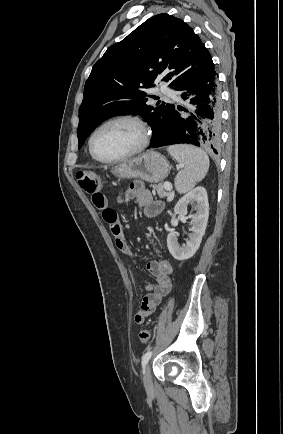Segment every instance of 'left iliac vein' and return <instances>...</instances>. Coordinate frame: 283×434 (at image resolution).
<instances>
[{
	"label": "left iliac vein",
	"instance_id": "left-iliac-vein-1",
	"mask_svg": "<svg viewBox=\"0 0 283 434\" xmlns=\"http://www.w3.org/2000/svg\"><path fill=\"white\" fill-rule=\"evenodd\" d=\"M143 383L148 393L153 392V382H152L151 370L149 365H147L146 369L144 370Z\"/></svg>",
	"mask_w": 283,
	"mask_h": 434
}]
</instances>
